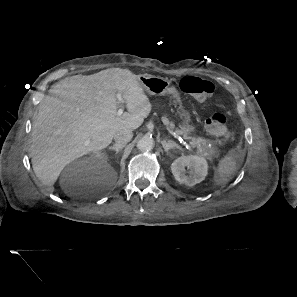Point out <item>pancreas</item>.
Instances as JSON below:
<instances>
[{
	"label": "pancreas",
	"instance_id": "pancreas-1",
	"mask_svg": "<svg viewBox=\"0 0 297 297\" xmlns=\"http://www.w3.org/2000/svg\"><path fill=\"white\" fill-rule=\"evenodd\" d=\"M162 120L167 127H169L170 129H174V124L170 122L166 117H163ZM176 132L181 134V131L179 130H177ZM184 137L191 139V143H193L194 146L197 147L198 152L206 158L212 159L214 157H218L219 152L208 139L201 137L195 138L186 135H184Z\"/></svg>",
	"mask_w": 297,
	"mask_h": 297
}]
</instances>
